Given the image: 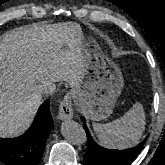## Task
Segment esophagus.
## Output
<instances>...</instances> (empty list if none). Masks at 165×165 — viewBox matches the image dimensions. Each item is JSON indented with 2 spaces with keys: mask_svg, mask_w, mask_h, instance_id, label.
<instances>
[{
  "mask_svg": "<svg viewBox=\"0 0 165 165\" xmlns=\"http://www.w3.org/2000/svg\"><path fill=\"white\" fill-rule=\"evenodd\" d=\"M72 98L73 94L70 92L61 101L58 114L60 120H70L73 118Z\"/></svg>",
  "mask_w": 165,
  "mask_h": 165,
  "instance_id": "obj_1",
  "label": "esophagus"
}]
</instances>
